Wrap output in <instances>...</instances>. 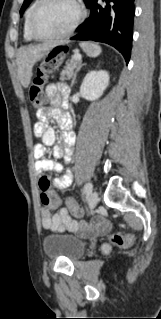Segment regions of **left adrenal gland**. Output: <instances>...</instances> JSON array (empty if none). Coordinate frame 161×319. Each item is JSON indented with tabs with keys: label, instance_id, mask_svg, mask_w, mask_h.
I'll use <instances>...</instances> for the list:
<instances>
[{
	"label": "left adrenal gland",
	"instance_id": "a2214340",
	"mask_svg": "<svg viewBox=\"0 0 161 319\" xmlns=\"http://www.w3.org/2000/svg\"><path fill=\"white\" fill-rule=\"evenodd\" d=\"M84 65H86V64L80 62L79 66H78V68H77V70H76V72H75V74H74V77H73V80H72V83H71V87H72V86L74 85V83H75V80H76V77H77V72H78Z\"/></svg>",
	"mask_w": 161,
	"mask_h": 319
}]
</instances>
